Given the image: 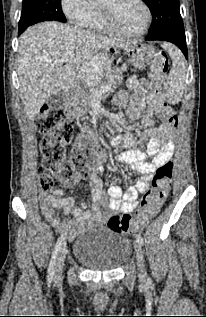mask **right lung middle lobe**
<instances>
[{
    "mask_svg": "<svg viewBox=\"0 0 206 317\" xmlns=\"http://www.w3.org/2000/svg\"><path fill=\"white\" fill-rule=\"evenodd\" d=\"M51 20L66 22L61 9V0H23L19 33L30 25Z\"/></svg>",
    "mask_w": 206,
    "mask_h": 317,
    "instance_id": "obj_1",
    "label": "right lung middle lobe"
}]
</instances>
